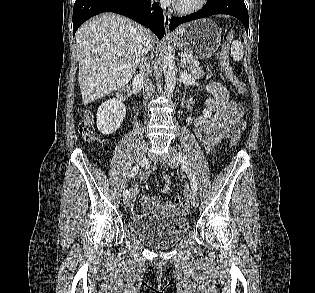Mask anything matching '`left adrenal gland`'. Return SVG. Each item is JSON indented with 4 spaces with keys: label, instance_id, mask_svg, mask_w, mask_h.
<instances>
[{
    "label": "left adrenal gland",
    "instance_id": "left-adrenal-gland-1",
    "mask_svg": "<svg viewBox=\"0 0 315 293\" xmlns=\"http://www.w3.org/2000/svg\"><path fill=\"white\" fill-rule=\"evenodd\" d=\"M180 66H181L182 68H184V65H183V64H181Z\"/></svg>",
    "mask_w": 315,
    "mask_h": 293
}]
</instances>
